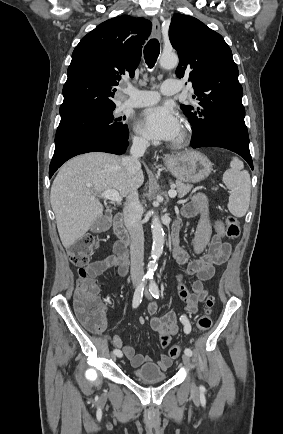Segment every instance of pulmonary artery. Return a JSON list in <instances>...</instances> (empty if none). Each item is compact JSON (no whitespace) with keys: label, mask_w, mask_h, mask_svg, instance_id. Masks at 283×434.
I'll list each match as a JSON object with an SVG mask.
<instances>
[{"label":"pulmonary artery","mask_w":283,"mask_h":434,"mask_svg":"<svg viewBox=\"0 0 283 434\" xmlns=\"http://www.w3.org/2000/svg\"><path fill=\"white\" fill-rule=\"evenodd\" d=\"M180 91V83L173 79L165 80L161 85L160 92L138 90L128 86L125 90L128 98L124 101L123 107L138 108L152 105L159 100L160 94L174 95Z\"/></svg>","instance_id":"obj_1"}]
</instances>
